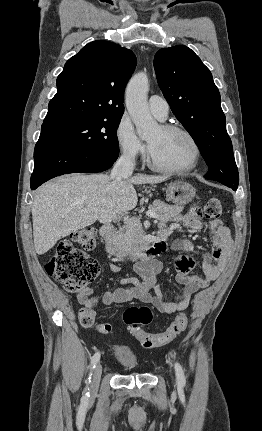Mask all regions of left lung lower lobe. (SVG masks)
<instances>
[{
	"label": "left lung lower lobe",
	"mask_w": 262,
	"mask_h": 431,
	"mask_svg": "<svg viewBox=\"0 0 262 431\" xmlns=\"http://www.w3.org/2000/svg\"><path fill=\"white\" fill-rule=\"evenodd\" d=\"M230 188H232L234 191L237 189V188H235V187H230Z\"/></svg>",
	"instance_id": "left-lung-lower-lobe-1"
}]
</instances>
